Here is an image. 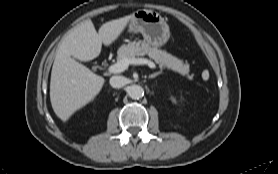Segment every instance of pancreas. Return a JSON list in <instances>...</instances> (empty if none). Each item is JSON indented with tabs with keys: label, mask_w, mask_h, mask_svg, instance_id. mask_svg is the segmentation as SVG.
Here are the masks:
<instances>
[{
	"label": "pancreas",
	"mask_w": 278,
	"mask_h": 174,
	"mask_svg": "<svg viewBox=\"0 0 278 174\" xmlns=\"http://www.w3.org/2000/svg\"><path fill=\"white\" fill-rule=\"evenodd\" d=\"M145 54L153 59L161 69H171L186 76L188 79H192V76L189 75L190 68L188 63H184L182 60L172 56L166 51L151 47L145 41H134L127 45H122L118 50L117 60H130L136 56H143Z\"/></svg>",
	"instance_id": "cf45deb5"
}]
</instances>
